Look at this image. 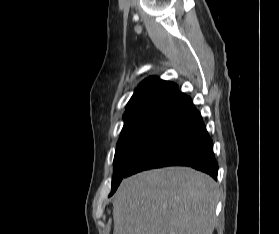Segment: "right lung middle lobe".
<instances>
[{
	"mask_svg": "<svg viewBox=\"0 0 279 234\" xmlns=\"http://www.w3.org/2000/svg\"><path fill=\"white\" fill-rule=\"evenodd\" d=\"M171 109L170 107H158L124 114L125 123L114 157V174L110 196L125 177L127 168L137 151Z\"/></svg>",
	"mask_w": 279,
	"mask_h": 234,
	"instance_id": "obj_1",
	"label": "right lung middle lobe"
}]
</instances>
